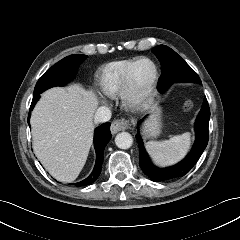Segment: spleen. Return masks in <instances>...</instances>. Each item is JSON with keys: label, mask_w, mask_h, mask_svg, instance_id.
Wrapping results in <instances>:
<instances>
[{"label": "spleen", "mask_w": 240, "mask_h": 240, "mask_svg": "<svg viewBox=\"0 0 240 240\" xmlns=\"http://www.w3.org/2000/svg\"><path fill=\"white\" fill-rule=\"evenodd\" d=\"M191 145L190 133L186 132L164 141H149L146 150L152 160L160 166L172 165L181 160Z\"/></svg>", "instance_id": "3e777b00"}]
</instances>
